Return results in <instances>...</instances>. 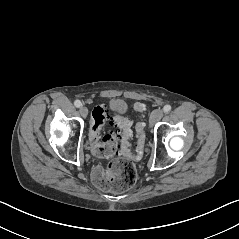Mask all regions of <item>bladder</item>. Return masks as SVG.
I'll list each match as a JSON object with an SVG mask.
<instances>
[{
	"label": "bladder",
	"instance_id": "bladder-1",
	"mask_svg": "<svg viewBox=\"0 0 239 239\" xmlns=\"http://www.w3.org/2000/svg\"><path fill=\"white\" fill-rule=\"evenodd\" d=\"M110 107L112 110L115 111H124L126 110V102L122 99H112L110 101Z\"/></svg>",
	"mask_w": 239,
	"mask_h": 239
}]
</instances>
